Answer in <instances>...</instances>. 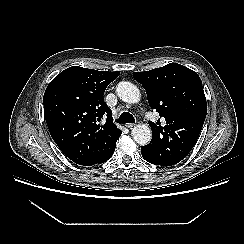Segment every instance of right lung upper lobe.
<instances>
[{
  "instance_id": "obj_1",
  "label": "right lung upper lobe",
  "mask_w": 244,
  "mask_h": 244,
  "mask_svg": "<svg viewBox=\"0 0 244 244\" xmlns=\"http://www.w3.org/2000/svg\"><path fill=\"white\" fill-rule=\"evenodd\" d=\"M119 74L73 66L57 75L44 93V115L50 134L76 164L97 163L116 145L121 131L113 123L103 94ZM106 116V122L101 124Z\"/></svg>"
}]
</instances>
